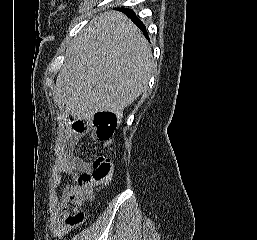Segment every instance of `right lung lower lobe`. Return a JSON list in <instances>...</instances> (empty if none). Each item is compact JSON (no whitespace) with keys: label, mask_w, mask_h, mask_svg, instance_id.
I'll use <instances>...</instances> for the list:
<instances>
[{"label":"right lung lower lobe","mask_w":257,"mask_h":240,"mask_svg":"<svg viewBox=\"0 0 257 240\" xmlns=\"http://www.w3.org/2000/svg\"><path fill=\"white\" fill-rule=\"evenodd\" d=\"M121 10L126 13L132 21L147 35V32L145 30L144 24L140 21V19L135 15L133 10L131 9H126V8H121Z\"/></svg>","instance_id":"obj_1"}]
</instances>
